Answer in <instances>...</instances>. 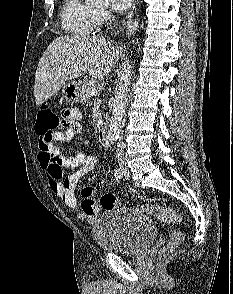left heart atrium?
Returning <instances> with one entry per match:
<instances>
[{"mask_svg":"<svg viewBox=\"0 0 233 294\" xmlns=\"http://www.w3.org/2000/svg\"><path fill=\"white\" fill-rule=\"evenodd\" d=\"M133 0H110L111 7L119 12L125 11Z\"/></svg>","mask_w":233,"mask_h":294,"instance_id":"left-heart-atrium-1","label":"left heart atrium"}]
</instances>
